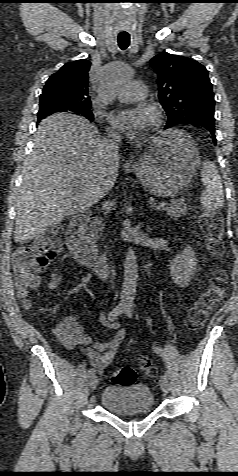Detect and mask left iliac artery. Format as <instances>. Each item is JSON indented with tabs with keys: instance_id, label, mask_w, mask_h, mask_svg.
Instances as JSON below:
<instances>
[{
	"instance_id": "left-iliac-artery-1",
	"label": "left iliac artery",
	"mask_w": 238,
	"mask_h": 476,
	"mask_svg": "<svg viewBox=\"0 0 238 476\" xmlns=\"http://www.w3.org/2000/svg\"><path fill=\"white\" fill-rule=\"evenodd\" d=\"M132 305L129 304L125 307V314L131 318L132 317ZM154 351L159 354L164 360L167 359V353L164 349H162L161 347H153ZM166 375H167V371H166Z\"/></svg>"
}]
</instances>
